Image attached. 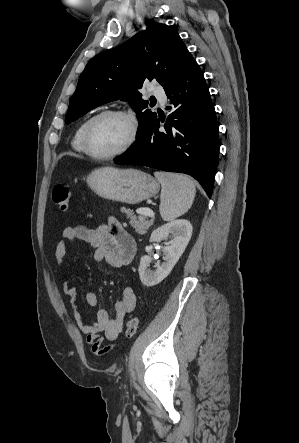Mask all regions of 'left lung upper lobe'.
Wrapping results in <instances>:
<instances>
[{"instance_id":"5c2ea615","label":"left lung upper lobe","mask_w":299,"mask_h":443,"mask_svg":"<svg viewBox=\"0 0 299 443\" xmlns=\"http://www.w3.org/2000/svg\"><path fill=\"white\" fill-rule=\"evenodd\" d=\"M196 61L170 26L149 24L122 45L93 57L82 72L71 97L65 122L70 124L90 110L114 100L128 101L139 121L137 138L157 114L147 109L138 89L155 79L167 89Z\"/></svg>"}]
</instances>
